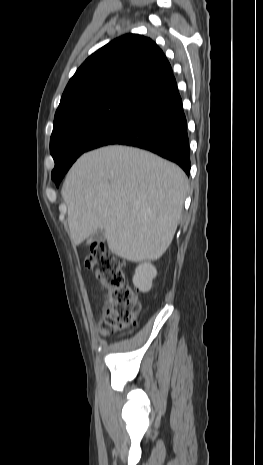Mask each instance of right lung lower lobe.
Returning <instances> with one entry per match:
<instances>
[{"label": "right lung lower lobe", "mask_w": 263, "mask_h": 465, "mask_svg": "<svg viewBox=\"0 0 263 465\" xmlns=\"http://www.w3.org/2000/svg\"><path fill=\"white\" fill-rule=\"evenodd\" d=\"M110 144L149 150L175 162L189 175L187 122L173 75L140 93L127 111L91 144L89 150Z\"/></svg>", "instance_id": "98d812e1"}]
</instances>
